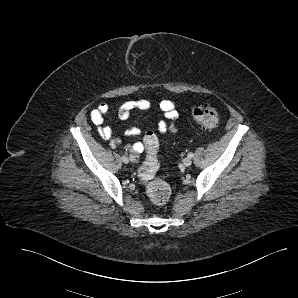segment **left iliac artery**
<instances>
[{
    "instance_id": "left-iliac-artery-1",
    "label": "left iliac artery",
    "mask_w": 298,
    "mask_h": 298,
    "mask_svg": "<svg viewBox=\"0 0 298 298\" xmlns=\"http://www.w3.org/2000/svg\"><path fill=\"white\" fill-rule=\"evenodd\" d=\"M194 154L192 152L188 153V157L192 158Z\"/></svg>"
}]
</instances>
